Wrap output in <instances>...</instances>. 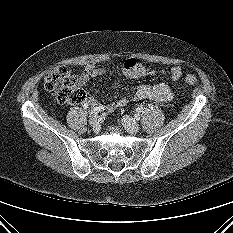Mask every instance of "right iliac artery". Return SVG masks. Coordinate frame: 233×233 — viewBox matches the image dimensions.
I'll return each instance as SVG.
<instances>
[{"label": "right iliac artery", "instance_id": "1", "mask_svg": "<svg viewBox=\"0 0 233 233\" xmlns=\"http://www.w3.org/2000/svg\"><path fill=\"white\" fill-rule=\"evenodd\" d=\"M105 109H104V107L103 106H99V107H95V108H93L91 111H90V116H95V115H97L99 112H102V111H104Z\"/></svg>", "mask_w": 233, "mask_h": 233}]
</instances>
